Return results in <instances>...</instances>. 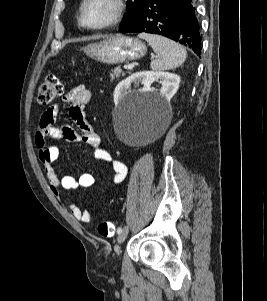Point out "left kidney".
Wrapping results in <instances>:
<instances>
[{
	"label": "left kidney",
	"instance_id": "obj_1",
	"mask_svg": "<svg viewBox=\"0 0 267 301\" xmlns=\"http://www.w3.org/2000/svg\"><path fill=\"white\" fill-rule=\"evenodd\" d=\"M158 80L162 82V87L159 90L160 95L165 98L167 102H170L179 88L180 77L169 72L142 71L132 74L116 86L113 94L115 104H118V102L128 93L131 83L141 82V84H143V89L141 91L146 92L150 91L151 84Z\"/></svg>",
	"mask_w": 267,
	"mask_h": 301
}]
</instances>
